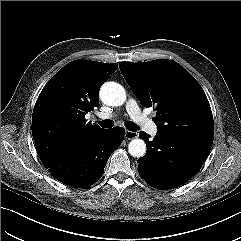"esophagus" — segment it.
Here are the masks:
<instances>
[{
	"label": "esophagus",
	"mask_w": 241,
	"mask_h": 241,
	"mask_svg": "<svg viewBox=\"0 0 241 241\" xmlns=\"http://www.w3.org/2000/svg\"><path fill=\"white\" fill-rule=\"evenodd\" d=\"M139 136V134L137 132H134V131H129V130H126L125 131V138L126 139H135Z\"/></svg>",
	"instance_id": "34e87169"
}]
</instances>
